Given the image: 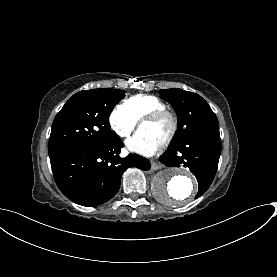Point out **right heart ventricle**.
Here are the masks:
<instances>
[{
    "mask_svg": "<svg viewBox=\"0 0 277 277\" xmlns=\"http://www.w3.org/2000/svg\"><path fill=\"white\" fill-rule=\"evenodd\" d=\"M124 107L137 120H141L151 110L165 109V104L155 96L138 94L130 97L124 103Z\"/></svg>",
    "mask_w": 277,
    "mask_h": 277,
    "instance_id": "right-heart-ventricle-1",
    "label": "right heart ventricle"
}]
</instances>
